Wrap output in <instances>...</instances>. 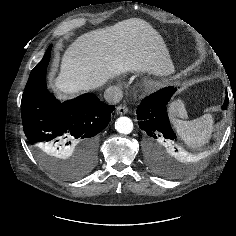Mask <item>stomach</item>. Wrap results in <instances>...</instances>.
<instances>
[{"mask_svg": "<svg viewBox=\"0 0 236 236\" xmlns=\"http://www.w3.org/2000/svg\"><path fill=\"white\" fill-rule=\"evenodd\" d=\"M179 115H183V113L182 112H180V113H178Z\"/></svg>", "mask_w": 236, "mask_h": 236, "instance_id": "stomach-1", "label": "stomach"}]
</instances>
